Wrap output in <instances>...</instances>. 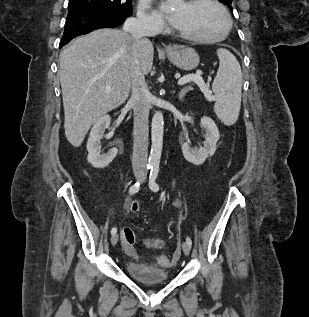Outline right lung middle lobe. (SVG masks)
<instances>
[{
  "instance_id": "obj_1",
  "label": "right lung middle lobe",
  "mask_w": 309,
  "mask_h": 317,
  "mask_svg": "<svg viewBox=\"0 0 309 317\" xmlns=\"http://www.w3.org/2000/svg\"><path fill=\"white\" fill-rule=\"evenodd\" d=\"M69 10H96L131 16V0H69Z\"/></svg>"
}]
</instances>
